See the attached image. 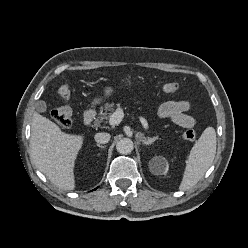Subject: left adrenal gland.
<instances>
[{
  "mask_svg": "<svg viewBox=\"0 0 248 248\" xmlns=\"http://www.w3.org/2000/svg\"><path fill=\"white\" fill-rule=\"evenodd\" d=\"M157 140V137H153V138H145L143 137L142 139V143L145 144V145H149V144H152L153 142H155Z\"/></svg>",
  "mask_w": 248,
  "mask_h": 248,
  "instance_id": "left-adrenal-gland-1",
  "label": "left adrenal gland"
}]
</instances>
